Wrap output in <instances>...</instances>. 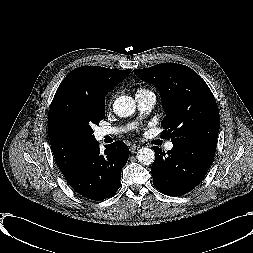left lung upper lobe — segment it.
I'll return each mask as SVG.
<instances>
[{"label": "left lung upper lobe", "mask_w": 253, "mask_h": 253, "mask_svg": "<svg viewBox=\"0 0 253 253\" xmlns=\"http://www.w3.org/2000/svg\"><path fill=\"white\" fill-rule=\"evenodd\" d=\"M140 79L155 85L162 96L166 116L161 136L172 143H217L220 116L216 100L205 81L191 68L163 63L135 69Z\"/></svg>", "instance_id": "1"}]
</instances>
